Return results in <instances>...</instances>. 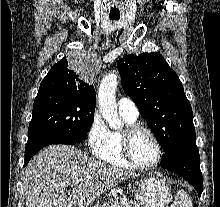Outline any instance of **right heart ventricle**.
Wrapping results in <instances>:
<instances>
[{
    "label": "right heart ventricle",
    "mask_w": 220,
    "mask_h": 207,
    "mask_svg": "<svg viewBox=\"0 0 220 207\" xmlns=\"http://www.w3.org/2000/svg\"><path fill=\"white\" fill-rule=\"evenodd\" d=\"M121 116L127 125L136 121L126 115L121 114ZM93 154L107 164L121 168H134L123 156L120 131H109L105 144Z\"/></svg>",
    "instance_id": "right-heart-ventricle-1"
}]
</instances>
